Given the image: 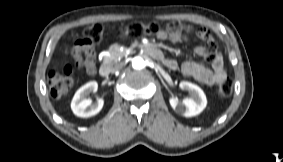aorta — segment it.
<instances>
[{"instance_id": "1", "label": "aorta", "mask_w": 283, "mask_h": 162, "mask_svg": "<svg viewBox=\"0 0 283 162\" xmlns=\"http://www.w3.org/2000/svg\"><path fill=\"white\" fill-rule=\"evenodd\" d=\"M132 67H133V69H135V70H141V69H143V68L145 67V61H144V59H143L142 57H139V56L134 57V58L132 59Z\"/></svg>"}]
</instances>
